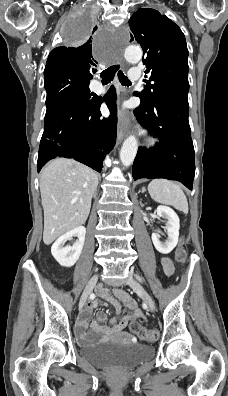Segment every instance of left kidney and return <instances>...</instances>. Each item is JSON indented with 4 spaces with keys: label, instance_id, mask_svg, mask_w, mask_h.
<instances>
[{
    "label": "left kidney",
    "instance_id": "left-kidney-1",
    "mask_svg": "<svg viewBox=\"0 0 228 396\" xmlns=\"http://www.w3.org/2000/svg\"><path fill=\"white\" fill-rule=\"evenodd\" d=\"M157 215L158 217L167 219L166 232L168 239L166 241H160L158 234L152 233V242L157 251L162 254H168L176 247L178 243L180 228L179 217L172 208L162 205L157 207Z\"/></svg>",
    "mask_w": 228,
    "mask_h": 396
}]
</instances>
